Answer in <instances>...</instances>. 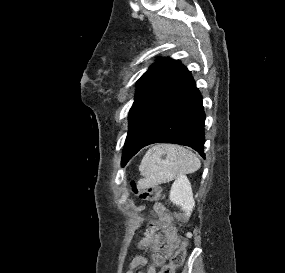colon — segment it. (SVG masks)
Returning a JSON list of instances; mask_svg holds the SVG:
<instances>
[{
  "mask_svg": "<svg viewBox=\"0 0 285 273\" xmlns=\"http://www.w3.org/2000/svg\"><path fill=\"white\" fill-rule=\"evenodd\" d=\"M130 188L132 192L143 201H155L161 198V190L156 186H147L138 181H131ZM187 241L184 239L180 247L172 255L170 261L162 267L160 273H175L179 269L185 259Z\"/></svg>",
  "mask_w": 285,
  "mask_h": 273,
  "instance_id": "1",
  "label": "colon"
}]
</instances>
